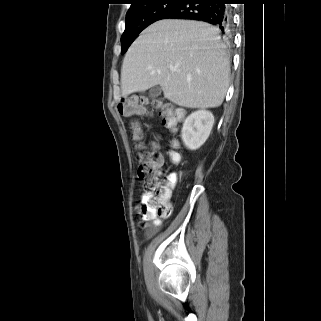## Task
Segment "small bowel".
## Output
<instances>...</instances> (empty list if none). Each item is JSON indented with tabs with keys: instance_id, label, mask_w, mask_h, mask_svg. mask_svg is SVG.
Returning <instances> with one entry per match:
<instances>
[{
	"instance_id": "c3829d8e",
	"label": "small bowel",
	"mask_w": 321,
	"mask_h": 321,
	"mask_svg": "<svg viewBox=\"0 0 321 321\" xmlns=\"http://www.w3.org/2000/svg\"><path fill=\"white\" fill-rule=\"evenodd\" d=\"M162 161H164V158L161 154H159ZM168 183L170 186V189H173L177 183V176L175 173H170L168 175ZM169 191V196L171 194V191ZM148 200V195L146 193H143L141 195V202L144 203ZM142 220L145 222V227L148 230L149 233H154L157 229V227L161 224V220L157 218L156 216H143Z\"/></svg>"
}]
</instances>
